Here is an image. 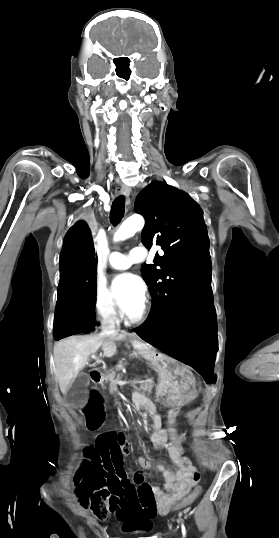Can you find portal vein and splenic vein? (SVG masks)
Here are the masks:
<instances>
[{
    "label": "portal vein and splenic vein",
    "instance_id": "portal-vein-and-splenic-vein-1",
    "mask_svg": "<svg viewBox=\"0 0 279 538\" xmlns=\"http://www.w3.org/2000/svg\"><path fill=\"white\" fill-rule=\"evenodd\" d=\"M92 360H97V353L92 351L90 353ZM135 383H147V380H135V382H130V380H121L120 385H135Z\"/></svg>",
    "mask_w": 279,
    "mask_h": 538
}]
</instances>
